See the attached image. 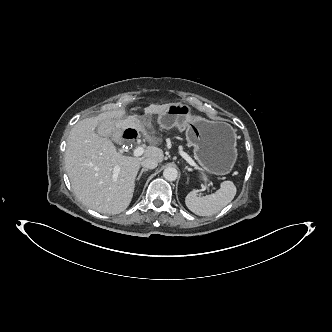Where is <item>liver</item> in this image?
<instances>
[{
    "mask_svg": "<svg viewBox=\"0 0 332 332\" xmlns=\"http://www.w3.org/2000/svg\"><path fill=\"white\" fill-rule=\"evenodd\" d=\"M170 104H151L144 108L148 119L125 117L126 110L119 109L74 125L67 140L65 168L75 195L85 206L103 214H118L129 206L141 162L147 158L158 163L164 160L163 150L154 146L158 142L149 116L165 113ZM96 127H101L108 135L135 128L154 145L146 147L141 157L124 156L117 152L108 137L95 132ZM116 166L119 167L117 174L114 172Z\"/></svg>",
    "mask_w": 332,
    "mask_h": 332,
    "instance_id": "1",
    "label": "liver"
}]
</instances>
